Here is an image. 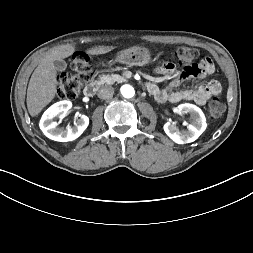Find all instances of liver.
Returning <instances> with one entry per match:
<instances>
[{
	"mask_svg": "<svg viewBox=\"0 0 253 253\" xmlns=\"http://www.w3.org/2000/svg\"><path fill=\"white\" fill-rule=\"evenodd\" d=\"M112 46H98L88 50L91 55L105 54L111 51ZM75 51L72 44L61 45L52 49L41 60L34 70L27 89V108L29 114L34 117L49 104L57 92V72L54 61L71 56Z\"/></svg>",
	"mask_w": 253,
	"mask_h": 253,
	"instance_id": "1",
	"label": "liver"
}]
</instances>
